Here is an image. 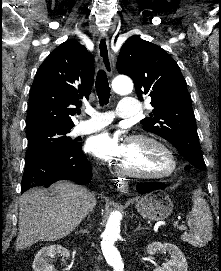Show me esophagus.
Instances as JSON below:
<instances>
[{"mask_svg":"<svg viewBox=\"0 0 221 271\" xmlns=\"http://www.w3.org/2000/svg\"><path fill=\"white\" fill-rule=\"evenodd\" d=\"M97 51L99 57V65L108 76L112 75V64L109 48V39L106 33H103L97 42ZM119 188L121 191L128 190V182L121 179L119 181Z\"/></svg>","mask_w":221,"mask_h":271,"instance_id":"1","label":"esophagus"}]
</instances>
